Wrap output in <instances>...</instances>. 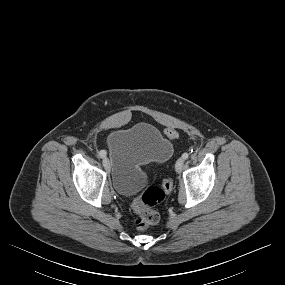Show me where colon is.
Masks as SVG:
<instances>
[{"instance_id": "colon-1", "label": "colon", "mask_w": 285, "mask_h": 285, "mask_svg": "<svg viewBox=\"0 0 285 285\" xmlns=\"http://www.w3.org/2000/svg\"><path fill=\"white\" fill-rule=\"evenodd\" d=\"M165 134L169 140H175L178 137V132L174 128L166 129ZM172 188L173 182L166 179L161 187L150 186L134 200V224L138 230H144L159 222L160 214L154 207L164 199L165 194Z\"/></svg>"}]
</instances>
